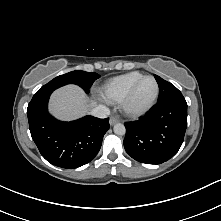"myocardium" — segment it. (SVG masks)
I'll use <instances>...</instances> for the list:
<instances>
[{
  "instance_id": "obj_1",
  "label": "myocardium",
  "mask_w": 221,
  "mask_h": 221,
  "mask_svg": "<svg viewBox=\"0 0 221 221\" xmlns=\"http://www.w3.org/2000/svg\"><path fill=\"white\" fill-rule=\"evenodd\" d=\"M146 79H151L154 82V85H155L154 94L152 98L144 105L135 106L133 101H134L136 91L138 87L140 86V84ZM158 95H159V85L156 79L153 76H149V75L143 76L133 84V86L130 88L126 96L121 101L122 110L124 111L125 114H127L130 117H133V118L140 117L146 114L154 106L158 98Z\"/></svg>"
}]
</instances>
